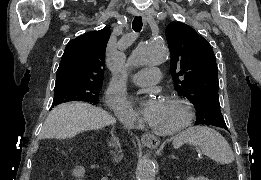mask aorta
Instances as JSON below:
<instances>
[{"instance_id":"1","label":"aorta","mask_w":261,"mask_h":180,"mask_svg":"<svg viewBox=\"0 0 261 180\" xmlns=\"http://www.w3.org/2000/svg\"><path fill=\"white\" fill-rule=\"evenodd\" d=\"M169 52L166 47L155 43L141 42L129 57L126 67L142 65H158L168 59ZM138 180H155V164L150 159L142 160L137 167Z\"/></svg>"}]
</instances>
